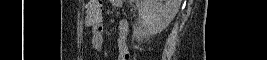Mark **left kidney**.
Wrapping results in <instances>:
<instances>
[{"mask_svg":"<svg viewBox=\"0 0 267 60\" xmlns=\"http://www.w3.org/2000/svg\"><path fill=\"white\" fill-rule=\"evenodd\" d=\"M180 4V0H144L138 10L139 19L149 32L159 33L174 19Z\"/></svg>","mask_w":267,"mask_h":60,"instance_id":"obj_1","label":"left kidney"}]
</instances>
